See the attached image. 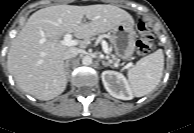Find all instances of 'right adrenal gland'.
<instances>
[{"mask_svg":"<svg viewBox=\"0 0 194 133\" xmlns=\"http://www.w3.org/2000/svg\"><path fill=\"white\" fill-rule=\"evenodd\" d=\"M69 63H70V60H67V61L65 62L67 80H68V78H69V73H70Z\"/></svg>","mask_w":194,"mask_h":133,"instance_id":"right-adrenal-gland-1","label":"right adrenal gland"}]
</instances>
